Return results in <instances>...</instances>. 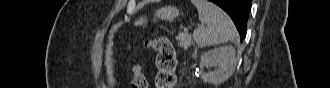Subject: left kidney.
<instances>
[{
    "instance_id": "5707ae66",
    "label": "left kidney",
    "mask_w": 330,
    "mask_h": 88,
    "mask_svg": "<svg viewBox=\"0 0 330 88\" xmlns=\"http://www.w3.org/2000/svg\"><path fill=\"white\" fill-rule=\"evenodd\" d=\"M201 63L203 66L216 68L214 71L203 73L202 80L218 85L234 72L237 65L236 51L231 45L212 49L202 55Z\"/></svg>"
}]
</instances>
